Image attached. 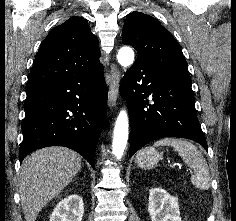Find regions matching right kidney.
I'll list each match as a JSON object with an SVG mask.
<instances>
[{
    "label": "right kidney",
    "mask_w": 236,
    "mask_h": 221,
    "mask_svg": "<svg viewBox=\"0 0 236 221\" xmlns=\"http://www.w3.org/2000/svg\"><path fill=\"white\" fill-rule=\"evenodd\" d=\"M83 214L84 204L82 197L72 194L56 205L49 221H81Z\"/></svg>",
    "instance_id": "ca27d5eb"
}]
</instances>
